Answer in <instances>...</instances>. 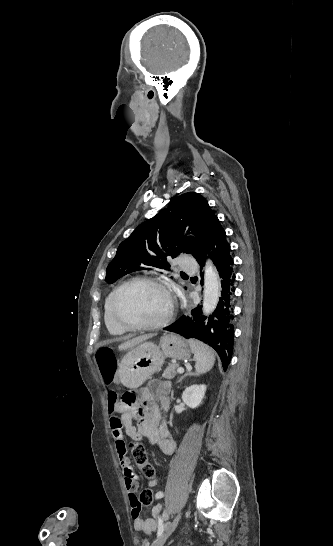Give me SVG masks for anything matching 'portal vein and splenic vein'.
Listing matches in <instances>:
<instances>
[{"mask_svg": "<svg viewBox=\"0 0 333 546\" xmlns=\"http://www.w3.org/2000/svg\"><path fill=\"white\" fill-rule=\"evenodd\" d=\"M177 372H178L179 374H183V373H184V368H178V369H177Z\"/></svg>", "mask_w": 333, "mask_h": 546, "instance_id": "18ae733b", "label": "portal vein and splenic vein"}]
</instances>
